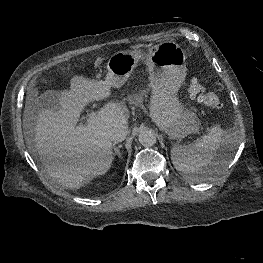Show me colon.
Listing matches in <instances>:
<instances>
[{
  "label": "colon",
  "mask_w": 263,
  "mask_h": 263,
  "mask_svg": "<svg viewBox=\"0 0 263 263\" xmlns=\"http://www.w3.org/2000/svg\"><path fill=\"white\" fill-rule=\"evenodd\" d=\"M188 91L190 96L199 103L215 110L222 109L219 97L199 81L193 80L189 85Z\"/></svg>",
  "instance_id": "5ec220e1"
}]
</instances>
